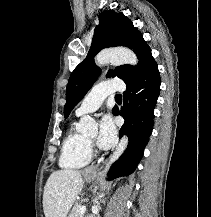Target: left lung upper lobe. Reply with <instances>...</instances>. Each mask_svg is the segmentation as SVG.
<instances>
[{
    "label": "left lung upper lobe",
    "mask_w": 211,
    "mask_h": 217,
    "mask_svg": "<svg viewBox=\"0 0 211 217\" xmlns=\"http://www.w3.org/2000/svg\"><path fill=\"white\" fill-rule=\"evenodd\" d=\"M99 22L94 30L92 45L86 58L74 69L69 78L66 89L67 102L64 107L65 118L68 117L100 75L101 70L95 64L94 56L102 49L125 46L132 49L139 59L135 67L122 65L109 70L106 75L107 78L117 76L127 83L156 64L142 34L123 13H116L113 10L104 11L99 17ZM115 108L116 106L113 110Z\"/></svg>",
    "instance_id": "5c2ea615"
}]
</instances>
